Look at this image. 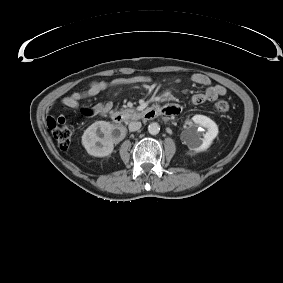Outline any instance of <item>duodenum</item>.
Wrapping results in <instances>:
<instances>
[{
	"label": "duodenum",
	"mask_w": 283,
	"mask_h": 283,
	"mask_svg": "<svg viewBox=\"0 0 283 283\" xmlns=\"http://www.w3.org/2000/svg\"><path fill=\"white\" fill-rule=\"evenodd\" d=\"M162 113L163 110L160 107L154 106L137 113L114 112L112 113L111 118L114 124L123 126L127 120H151Z\"/></svg>",
	"instance_id": "1"
}]
</instances>
